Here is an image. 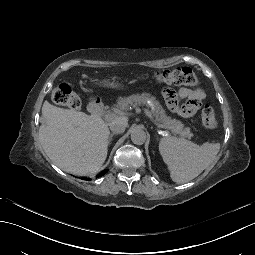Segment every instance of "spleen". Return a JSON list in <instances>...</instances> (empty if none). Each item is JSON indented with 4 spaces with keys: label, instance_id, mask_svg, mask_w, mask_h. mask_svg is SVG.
I'll return each instance as SVG.
<instances>
[{
    "label": "spleen",
    "instance_id": "obj_1",
    "mask_svg": "<svg viewBox=\"0 0 255 255\" xmlns=\"http://www.w3.org/2000/svg\"><path fill=\"white\" fill-rule=\"evenodd\" d=\"M220 148L219 143L201 146L184 138L162 137L158 149L163 162L176 183H186L197 177L210 165Z\"/></svg>",
    "mask_w": 255,
    "mask_h": 255
}]
</instances>
